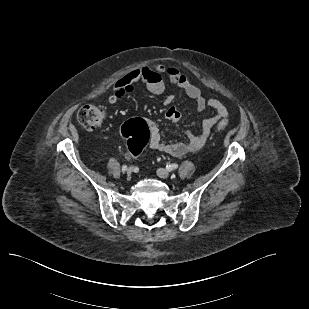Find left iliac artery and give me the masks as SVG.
<instances>
[{
	"label": "left iliac artery",
	"mask_w": 309,
	"mask_h": 309,
	"mask_svg": "<svg viewBox=\"0 0 309 309\" xmlns=\"http://www.w3.org/2000/svg\"><path fill=\"white\" fill-rule=\"evenodd\" d=\"M167 170L172 171L178 168V164L177 163H173V164H169L166 165Z\"/></svg>",
	"instance_id": "44dca946"
}]
</instances>
